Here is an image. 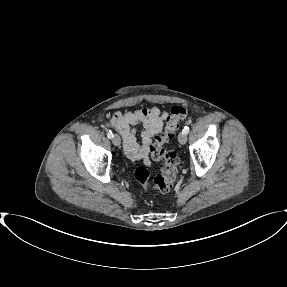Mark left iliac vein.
Here are the masks:
<instances>
[{
  "label": "left iliac vein",
  "instance_id": "1",
  "mask_svg": "<svg viewBox=\"0 0 287 287\" xmlns=\"http://www.w3.org/2000/svg\"><path fill=\"white\" fill-rule=\"evenodd\" d=\"M178 140L181 144H185L186 141H187V137H186V134L183 133V132H180L179 135H178Z\"/></svg>",
  "mask_w": 287,
  "mask_h": 287
}]
</instances>
